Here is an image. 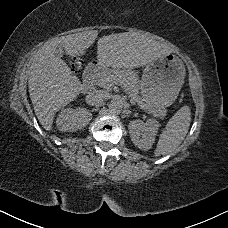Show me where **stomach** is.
<instances>
[{"mask_svg":"<svg viewBox=\"0 0 228 228\" xmlns=\"http://www.w3.org/2000/svg\"><path fill=\"white\" fill-rule=\"evenodd\" d=\"M185 73L182 60L172 53L146 64L140 80V101L154 109L169 107L177 99Z\"/></svg>","mask_w":228,"mask_h":228,"instance_id":"stomach-1","label":"stomach"}]
</instances>
